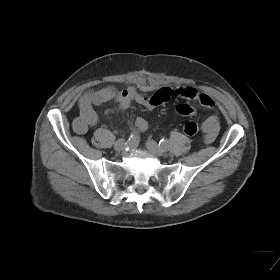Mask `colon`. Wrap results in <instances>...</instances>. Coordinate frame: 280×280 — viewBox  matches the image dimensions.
<instances>
[{
    "instance_id": "colon-1",
    "label": "colon",
    "mask_w": 280,
    "mask_h": 280,
    "mask_svg": "<svg viewBox=\"0 0 280 280\" xmlns=\"http://www.w3.org/2000/svg\"><path fill=\"white\" fill-rule=\"evenodd\" d=\"M177 110H178L179 113L186 112V111H188V107L185 104H181V105L178 106ZM83 127H84V124H83L82 120L80 118H77L74 121V129L82 130ZM184 131L187 135L192 136V135H195V134L198 133L199 127H198L196 122L189 121V122L186 123V125L184 127Z\"/></svg>"
}]
</instances>
